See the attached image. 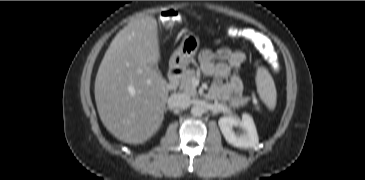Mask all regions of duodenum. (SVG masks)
I'll use <instances>...</instances> for the list:
<instances>
[{
	"label": "duodenum",
	"instance_id": "1",
	"mask_svg": "<svg viewBox=\"0 0 365 180\" xmlns=\"http://www.w3.org/2000/svg\"><path fill=\"white\" fill-rule=\"evenodd\" d=\"M183 73V68L172 67L168 73V89L175 90L179 84V78Z\"/></svg>",
	"mask_w": 365,
	"mask_h": 180
}]
</instances>
